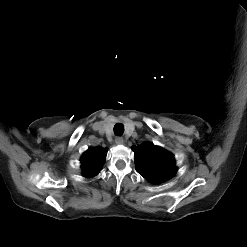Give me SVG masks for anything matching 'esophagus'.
Instances as JSON below:
<instances>
[{"instance_id": "1", "label": "esophagus", "mask_w": 247, "mask_h": 247, "mask_svg": "<svg viewBox=\"0 0 247 247\" xmlns=\"http://www.w3.org/2000/svg\"><path fill=\"white\" fill-rule=\"evenodd\" d=\"M115 142L118 145H122V144H124V139L122 137L118 136V137L115 138Z\"/></svg>"}]
</instances>
